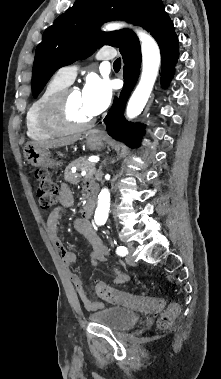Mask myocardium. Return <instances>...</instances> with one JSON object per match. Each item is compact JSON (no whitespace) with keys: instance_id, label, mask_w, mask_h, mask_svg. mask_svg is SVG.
<instances>
[{"instance_id":"f54148a6","label":"myocardium","mask_w":221,"mask_h":379,"mask_svg":"<svg viewBox=\"0 0 221 379\" xmlns=\"http://www.w3.org/2000/svg\"><path fill=\"white\" fill-rule=\"evenodd\" d=\"M73 87H66L55 94L44 105L41 112L43 127L54 134H64L89 128L95 121L94 117L81 123L71 121L68 115V100Z\"/></svg>"}]
</instances>
